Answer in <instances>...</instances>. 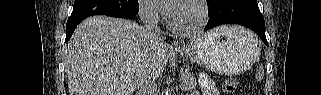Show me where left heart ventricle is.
Listing matches in <instances>:
<instances>
[{"label": "left heart ventricle", "instance_id": "left-heart-ventricle-1", "mask_svg": "<svg viewBox=\"0 0 321 95\" xmlns=\"http://www.w3.org/2000/svg\"><path fill=\"white\" fill-rule=\"evenodd\" d=\"M171 19L177 27L189 28L198 22V10L193 5H184L177 10Z\"/></svg>", "mask_w": 321, "mask_h": 95}]
</instances>
